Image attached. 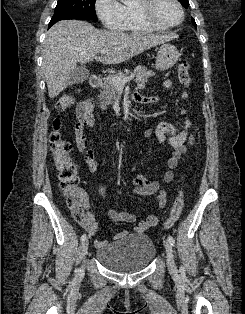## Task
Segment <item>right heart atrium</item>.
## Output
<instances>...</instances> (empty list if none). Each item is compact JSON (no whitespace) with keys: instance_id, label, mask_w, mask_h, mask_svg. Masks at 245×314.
Here are the masks:
<instances>
[{"instance_id":"obj_1","label":"right heart atrium","mask_w":245,"mask_h":314,"mask_svg":"<svg viewBox=\"0 0 245 314\" xmlns=\"http://www.w3.org/2000/svg\"><path fill=\"white\" fill-rule=\"evenodd\" d=\"M95 11L104 27L110 30L121 29L122 4L118 0H96Z\"/></svg>"}]
</instances>
